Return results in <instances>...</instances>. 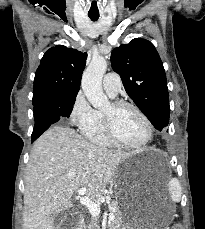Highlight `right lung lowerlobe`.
I'll return each instance as SVG.
<instances>
[{
    "label": "right lung lower lobe",
    "instance_id": "1",
    "mask_svg": "<svg viewBox=\"0 0 205 229\" xmlns=\"http://www.w3.org/2000/svg\"><path fill=\"white\" fill-rule=\"evenodd\" d=\"M74 103L68 96H57L34 106L35 126L31 136L32 142L61 117H69Z\"/></svg>",
    "mask_w": 205,
    "mask_h": 229
}]
</instances>
